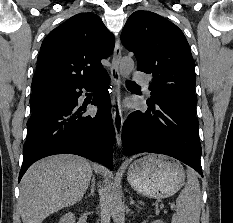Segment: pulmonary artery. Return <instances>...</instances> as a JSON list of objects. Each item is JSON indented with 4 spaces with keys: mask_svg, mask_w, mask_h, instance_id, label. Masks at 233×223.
Returning <instances> with one entry per match:
<instances>
[{
    "mask_svg": "<svg viewBox=\"0 0 233 223\" xmlns=\"http://www.w3.org/2000/svg\"><path fill=\"white\" fill-rule=\"evenodd\" d=\"M133 75H137V79L142 85H148L150 82L151 75L143 74V70H133Z\"/></svg>",
    "mask_w": 233,
    "mask_h": 223,
    "instance_id": "1",
    "label": "pulmonary artery"
}]
</instances>
